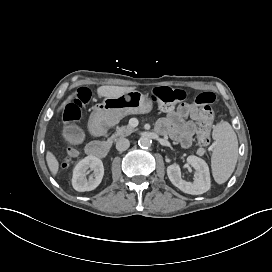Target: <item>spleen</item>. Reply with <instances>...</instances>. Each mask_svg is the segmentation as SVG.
Instances as JSON below:
<instances>
[{
    "label": "spleen",
    "mask_w": 272,
    "mask_h": 272,
    "mask_svg": "<svg viewBox=\"0 0 272 272\" xmlns=\"http://www.w3.org/2000/svg\"><path fill=\"white\" fill-rule=\"evenodd\" d=\"M212 138L214 139L212 174L218 184H223L229 179L237 163V135L231 125L222 120L213 127Z\"/></svg>",
    "instance_id": "spleen-1"
}]
</instances>
